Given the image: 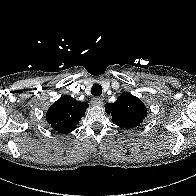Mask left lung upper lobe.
<instances>
[{"mask_svg":"<svg viewBox=\"0 0 196 196\" xmlns=\"http://www.w3.org/2000/svg\"><path fill=\"white\" fill-rule=\"evenodd\" d=\"M105 111L112 115L113 123L123 128H134L147 116L142 101L127 92L122 93L116 102L107 103Z\"/></svg>","mask_w":196,"mask_h":196,"instance_id":"5c2ea615","label":"left lung upper lobe"}]
</instances>
